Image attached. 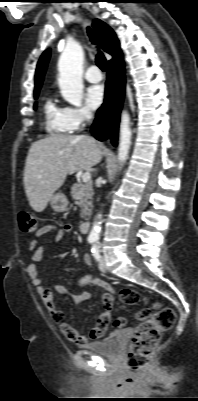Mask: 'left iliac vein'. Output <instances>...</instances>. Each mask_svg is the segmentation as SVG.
Returning a JSON list of instances; mask_svg holds the SVG:
<instances>
[{"mask_svg": "<svg viewBox=\"0 0 198 401\" xmlns=\"http://www.w3.org/2000/svg\"><path fill=\"white\" fill-rule=\"evenodd\" d=\"M99 269L102 272H106L107 271V267H106V264H105V259H104L103 256L100 258V261H99Z\"/></svg>", "mask_w": 198, "mask_h": 401, "instance_id": "4c4485c4", "label": "left iliac vein"}]
</instances>
